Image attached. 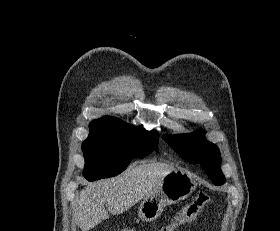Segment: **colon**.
<instances>
[{
    "label": "colon",
    "mask_w": 280,
    "mask_h": 231,
    "mask_svg": "<svg viewBox=\"0 0 280 231\" xmlns=\"http://www.w3.org/2000/svg\"><path fill=\"white\" fill-rule=\"evenodd\" d=\"M209 196L205 192L196 193L185 209L181 210V215H177L173 220V225H163L161 231H175L178 229L177 225H189V220H196L195 213H200V210L206 207L209 202Z\"/></svg>",
    "instance_id": "colon-1"
}]
</instances>
